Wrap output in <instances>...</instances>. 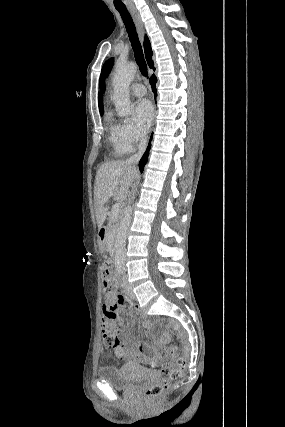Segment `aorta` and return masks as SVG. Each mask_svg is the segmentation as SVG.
Segmentation results:
<instances>
[{"label":"aorta","instance_id":"762f6f07","mask_svg":"<svg viewBox=\"0 0 285 427\" xmlns=\"http://www.w3.org/2000/svg\"><path fill=\"white\" fill-rule=\"evenodd\" d=\"M137 71V65L134 62L118 63L113 76V94L112 101L115 104L119 116H127L132 105L129 97V86ZM132 208L128 206L120 222L116 243H115V265L118 269H124V254L127 231L131 223Z\"/></svg>","mask_w":285,"mask_h":427}]
</instances>
